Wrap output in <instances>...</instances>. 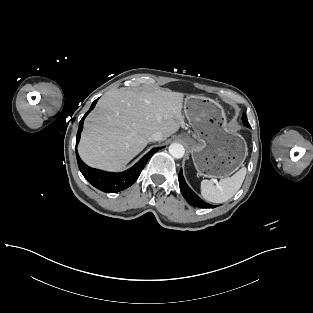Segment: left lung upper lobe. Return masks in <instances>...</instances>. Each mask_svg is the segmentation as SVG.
I'll return each mask as SVG.
<instances>
[{"label": "left lung upper lobe", "instance_id": "obj_1", "mask_svg": "<svg viewBox=\"0 0 313 313\" xmlns=\"http://www.w3.org/2000/svg\"><path fill=\"white\" fill-rule=\"evenodd\" d=\"M243 123L246 127L250 128V124L248 123L247 116L243 113L242 116Z\"/></svg>", "mask_w": 313, "mask_h": 313}]
</instances>
